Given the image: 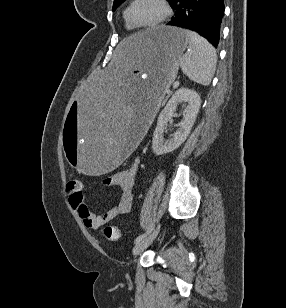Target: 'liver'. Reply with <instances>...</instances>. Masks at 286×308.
<instances>
[{
  "label": "liver",
  "instance_id": "liver-1",
  "mask_svg": "<svg viewBox=\"0 0 286 308\" xmlns=\"http://www.w3.org/2000/svg\"><path fill=\"white\" fill-rule=\"evenodd\" d=\"M145 31L132 35L124 39L117 47L113 63L129 59L133 56L134 52L138 49L140 41L144 38Z\"/></svg>",
  "mask_w": 286,
  "mask_h": 308
}]
</instances>
